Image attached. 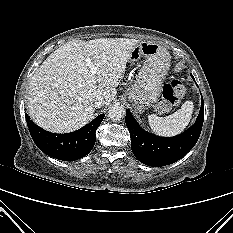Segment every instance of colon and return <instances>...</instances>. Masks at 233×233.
Returning <instances> with one entry per match:
<instances>
[{
    "label": "colon",
    "mask_w": 233,
    "mask_h": 233,
    "mask_svg": "<svg viewBox=\"0 0 233 233\" xmlns=\"http://www.w3.org/2000/svg\"><path fill=\"white\" fill-rule=\"evenodd\" d=\"M186 92L187 88L184 83L179 79H173L163 87L156 109L161 113L169 111L172 106L180 102Z\"/></svg>",
    "instance_id": "1"
}]
</instances>
